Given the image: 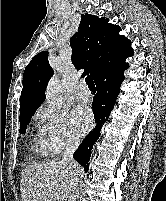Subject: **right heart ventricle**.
<instances>
[{
	"label": "right heart ventricle",
	"instance_id": "obj_1",
	"mask_svg": "<svg viewBox=\"0 0 166 201\" xmlns=\"http://www.w3.org/2000/svg\"><path fill=\"white\" fill-rule=\"evenodd\" d=\"M37 142H38L37 150L39 151L40 154H42V155L50 154L49 150L47 149V147L42 142L40 132H39Z\"/></svg>",
	"mask_w": 166,
	"mask_h": 201
}]
</instances>
